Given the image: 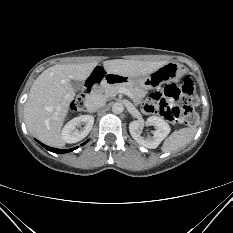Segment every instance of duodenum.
Returning <instances> with one entry per match:
<instances>
[{"label": "duodenum", "instance_id": "410a0bca", "mask_svg": "<svg viewBox=\"0 0 233 233\" xmlns=\"http://www.w3.org/2000/svg\"><path fill=\"white\" fill-rule=\"evenodd\" d=\"M93 71L94 73L83 84L88 93L97 92L100 84L111 85L118 83L114 79L116 74L105 72L103 66H96Z\"/></svg>", "mask_w": 233, "mask_h": 233}]
</instances>
